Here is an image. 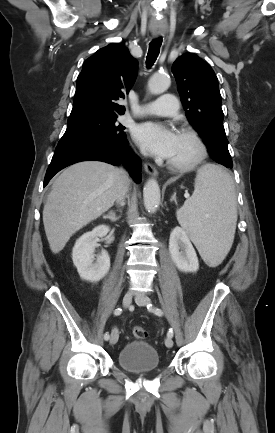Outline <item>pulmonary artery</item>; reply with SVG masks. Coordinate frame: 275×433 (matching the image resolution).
Masks as SVG:
<instances>
[{
	"label": "pulmonary artery",
	"instance_id": "pulmonary-artery-1",
	"mask_svg": "<svg viewBox=\"0 0 275 433\" xmlns=\"http://www.w3.org/2000/svg\"><path fill=\"white\" fill-rule=\"evenodd\" d=\"M178 100L171 94H164L157 100L142 105L138 111L140 115L173 116L178 112Z\"/></svg>",
	"mask_w": 275,
	"mask_h": 433
}]
</instances>
